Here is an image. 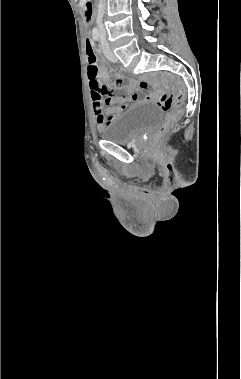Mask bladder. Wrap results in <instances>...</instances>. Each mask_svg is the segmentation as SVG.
I'll list each match as a JSON object with an SVG mask.
<instances>
[{
    "instance_id": "obj_1",
    "label": "bladder",
    "mask_w": 241,
    "mask_h": 379,
    "mask_svg": "<svg viewBox=\"0 0 241 379\" xmlns=\"http://www.w3.org/2000/svg\"><path fill=\"white\" fill-rule=\"evenodd\" d=\"M162 117L161 110L155 105L136 104L114 117L101 129L100 135L104 140L127 144L155 128Z\"/></svg>"
}]
</instances>
